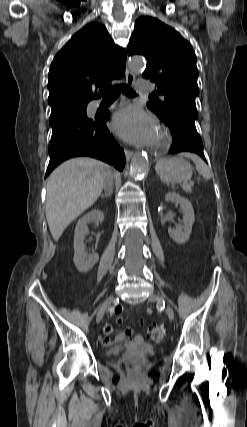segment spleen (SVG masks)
Returning <instances> with one entry per match:
<instances>
[{"label": "spleen", "mask_w": 247, "mask_h": 427, "mask_svg": "<svg viewBox=\"0 0 247 427\" xmlns=\"http://www.w3.org/2000/svg\"><path fill=\"white\" fill-rule=\"evenodd\" d=\"M181 155L191 158V160L195 163L196 169L200 175L203 176L204 179L209 180L212 176V172L209 167L203 162V160L195 154L192 153H182ZM161 162L157 163L156 169L160 166Z\"/></svg>", "instance_id": "spleen-1"}]
</instances>
